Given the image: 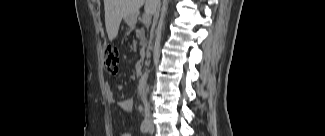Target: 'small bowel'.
<instances>
[{"instance_id": "small-bowel-1", "label": "small bowel", "mask_w": 325, "mask_h": 136, "mask_svg": "<svg viewBox=\"0 0 325 136\" xmlns=\"http://www.w3.org/2000/svg\"><path fill=\"white\" fill-rule=\"evenodd\" d=\"M106 96H107V100L109 103L115 102V95H114L113 91L110 89V87H108V86L106 87ZM134 105H135V102L132 98H127L120 102L121 108L127 112L133 111Z\"/></svg>"}]
</instances>
